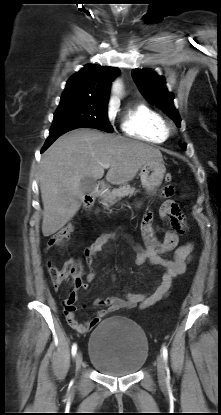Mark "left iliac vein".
Returning <instances> with one entry per match:
<instances>
[{
  "label": "left iliac vein",
  "instance_id": "4c4485c4",
  "mask_svg": "<svg viewBox=\"0 0 221 415\" xmlns=\"http://www.w3.org/2000/svg\"><path fill=\"white\" fill-rule=\"evenodd\" d=\"M157 374L161 382L165 381V367L162 355L157 357Z\"/></svg>",
  "mask_w": 221,
  "mask_h": 415
}]
</instances>
